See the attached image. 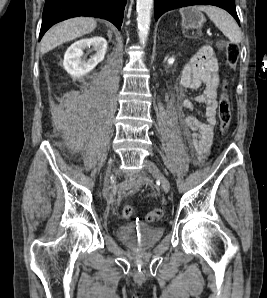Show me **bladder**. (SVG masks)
<instances>
[{"instance_id":"bladder-1","label":"bladder","mask_w":267,"mask_h":298,"mask_svg":"<svg viewBox=\"0 0 267 298\" xmlns=\"http://www.w3.org/2000/svg\"><path fill=\"white\" fill-rule=\"evenodd\" d=\"M163 233L162 227L128 224L118 228L117 237L134 249L145 250L154 246Z\"/></svg>"}]
</instances>
